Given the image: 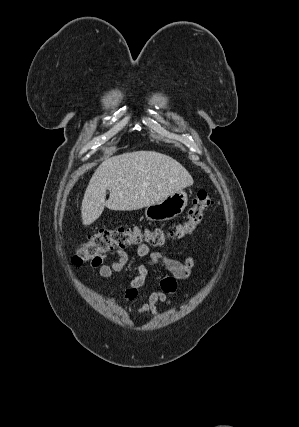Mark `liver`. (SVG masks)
Listing matches in <instances>:
<instances>
[{
    "instance_id": "6515ba94",
    "label": "liver",
    "mask_w": 299,
    "mask_h": 427,
    "mask_svg": "<svg viewBox=\"0 0 299 427\" xmlns=\"http://www.w3.org/2000/svg\"><path fill=\"white\" fill-rule=\"evenodd\" d=\"M176 160L155 151L113 156L96 169L81 205L82 222L92 224L106 206L115 211L138 210L193 184ZM106 190L110 191L106 201Z\"/></svg>"
}]
</instances>
